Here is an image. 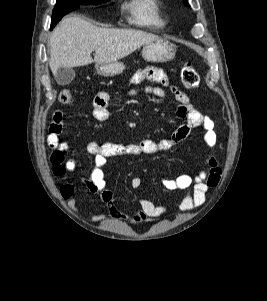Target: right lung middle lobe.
Here are the masks:
<instances>
[{"instance_id": "dd1d6c3e", "label": "right lung middle lobe", "mask_w": 267, "mask_h": 301, "mask_svg": "<svg viewBox=\"0 0 267 301\" xmlns=\"http://www.w3.org/2000/svg\"><path fill=\"white\" fill-rule=\"evenodd\" d=\"M106 1L109 0H57L52 11L51 29L56 25L57 22L61 20L64 15L79 8L81 4L96 5L105 3Z\"/></svg>"}]
</instances>
